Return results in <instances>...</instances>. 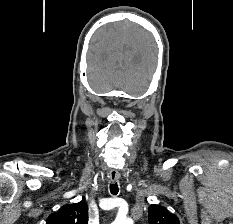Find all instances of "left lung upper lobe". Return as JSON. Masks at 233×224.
Listing matches in <instances>:
<instances>
[{"mask_svg": "<svg viewBox=\"0 0 233 224\" xmlns=\"http://www.w3.org/2000/svg\"><path fill=\"white\" fill-rule=\"evenodd\" d=\"M149 224H180L176 215L171 214L165 207L150 205L148 208Z\"/></svg>", "mask_w": 233, "mask_h": 224, "instance_id": "obj_1", "label": "left lung upper lobe"}]
</instances>
